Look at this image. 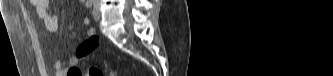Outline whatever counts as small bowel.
I'll return each instance as SVG.
<instances>
[{
  "label": "small bowel",
  "instance_id": "obj_1",
  "mask_svg": "<svg viewBox=\"0 0 333 76\" xmlns=\"http://www.w3.org/2000/svg\"><path fill=\"white\" fill-rule=\"evenodd\" d=\"M48 4L49 2L46 0L34 1L38 14L45 22L47 30L51 33H58L60 30L58 18L49 11ZM84 24L87 26L89 38L79 44L68 61L55 60L53 62V69L57 76H84L79 62L92 53L97 47L96 42L100 41V33L95 32L93 27H89L90 20L85 19Z\"/></svg>",
  "mask_w": 333,
  "mask_h": 76
}]
</instances>
